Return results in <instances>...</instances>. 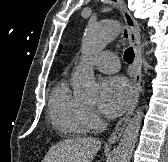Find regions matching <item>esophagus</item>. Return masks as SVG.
Wrapping results in <instances>:
<instances>
[{"label":"esophagus","mask_w":168,"mask_h":162,"mask_svg":"<svg viewBox=\"0 0 168 162\" xmlns=\"http://www.w3.org/2000/svg\"><path fill=\"white\" fill-rule=\"evenodd\" d=\"M120 8L127 25L128 37L131 46L134 49L135 58H134V77H133V99L131 105L126 112V114L118 121L113 132L111 133L108 142L113 144L117 142L122 136L124 129L130 120L133 112L137 106L139 96L142 90V47L140 41V27L137 21L133 18L130 11L127 9L124 0H118Z\"/></svg>","instance_id":"1"}]
</instances>
